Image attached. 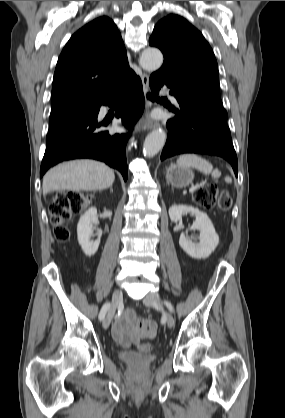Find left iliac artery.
Returning a JSON list of instances; mask_svg holds the SVG:
<instances>
[{
  "label": "left iliac artery",
  "mask_w": 285,
  "mask_h": 418,
  "mask_svg": "<svg viewBox=\"0 0 285 418\" xmlns=\"http://www.w3.org/2000/svg\"><path fill=\"white\" fill-rule=\"evenodd\" d=\"M165 305L167 306V308L173 312V305L169 302V301H164Z\"/></svg>",
  "instance_id": "obj_1"
}]
</instances>
